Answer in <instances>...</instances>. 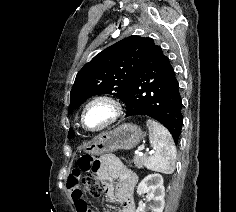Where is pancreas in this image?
Masks as SVG:
<instances>
[{
  "label": "pancreas",
  "instance_id": "pancreas-1",
  "mask_svg": "<svg viewBox=\"0 0 236 212\" xmlns=\"http://www.w3.org/2000/svg\"><path fill=\"white\" fill-rule=\"evenodd\" d=\"M147 159H148L147 155L143 156L135 155L133 162L137 168H143V166L146 165Z\"/></svg>",
  "mask_w": 236,
  "mask_h": 212
}]
</instances>
